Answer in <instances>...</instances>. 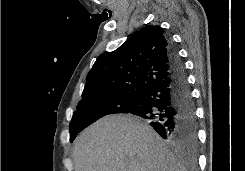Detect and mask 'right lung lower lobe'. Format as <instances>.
<instances>
[{"mask_svg": "<svg viewBox=\"0 0 245 171\" xmlns=\"http://www.w3.org/2000/svg\"><path fill=\"white\" fill-rule=\"evenodd\" d=\"M168 58L170 75L145 90L129 113L146 119L163 139L193 155L198 145L195 107L184 64L171 42Z\"/></svg>", "mask_w": 245, "mask_h": 171, "instance_id": "obj_1", "label": "right lung lower lobe"}]
</instances>
